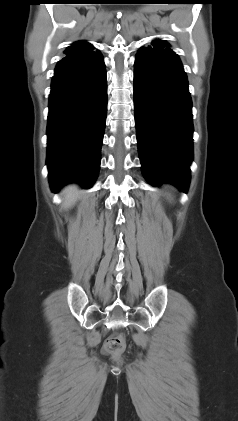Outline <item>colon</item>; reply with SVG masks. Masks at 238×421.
Instances as JSON below:
<instances>
[{
  "instance_id": "obj_1",
  "label": "colon",
  "mask_w": 238,
  "mask_h": 421,
  "mask_svg": "<svg viewBox=\"0 0 238 421\" xmlns=\"http://www.w3.org/2000/svg\"><path fill=\"white\" fill-rule=\"evenodd\" d=\"M125 349L126 343L123 336L121 335L109 337L104 344V350L115 359L121 358L125 352Z\"/></svg>"
}]
</instances>
